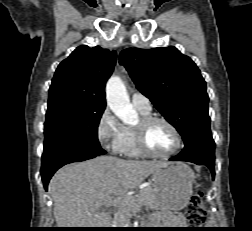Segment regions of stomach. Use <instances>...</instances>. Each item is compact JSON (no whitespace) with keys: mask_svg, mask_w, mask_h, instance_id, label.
<instances>
[{"mask_svg":"<svg viewBox=\"0 0 252 231\" xmlns=\"http://www.w3.org/2000/svg\"><path fill=\"white\" fill-rule=\"evenodd\" d=\"M193 171L184 163L175 162L153 173L154 208L162 211L183 209L193 194Z\"/></svg>","mask_w":252,"mask_h":231,"instance_id":"stomach-1","label":"stomach"}]
</instances>
